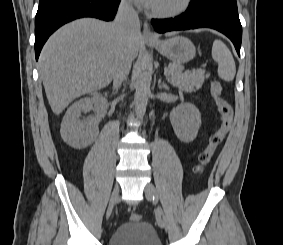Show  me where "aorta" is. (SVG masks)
<instances>
[{
    "mask_svg": "<svg viewBox=\"0 0 283 245\" xmlns=\"http://www.w3.org/2000/svg\"><path fill=\"white\" fill-rule=\"evenodd\" d=\"M150 76L146 71H142L136 81L135 90V113L137 117H143L146 112L148 97L150 94Z\"/></svg>",
    "mask_w": 283,
    "mask_h": 245,
    "instance_id": "obj_1",
    "label": "aorta"
}]
</instances>
